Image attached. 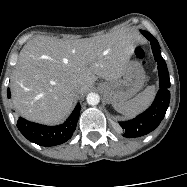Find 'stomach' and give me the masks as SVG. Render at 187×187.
<instances>
[{"mask_svg":"<svg viewBox=\"0 0 187 187\" xmlns=\"http://www.w3.org/2000/svg\"><path fill=\"white\" fill-rule=\"evenodd\" d=\"M145 72L138 61H130L122 77L98 85L107 103L125 102L132 98L144 85Z\"/></svg>","mask_w":187,"mask_h":187,"instance_id":"stomach-1","label":"stomach"}]
</instances>
